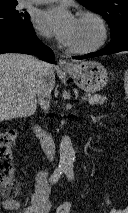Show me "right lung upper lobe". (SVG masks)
<instances>
[{"mask_svg":"<svg viewBox=\"0 0 128 213\" xmlns=\"http://www.w3.org/2000/svg\"><path fill=\"white\" fill-rule=\"evenodd\" d=\"M18 4L17 0H0V6H8Z\"/></svg>","mask_w":128,"mask_h":213,"instance_id":"obj_1","label":"right lung upper lobe"}]
</instances>
